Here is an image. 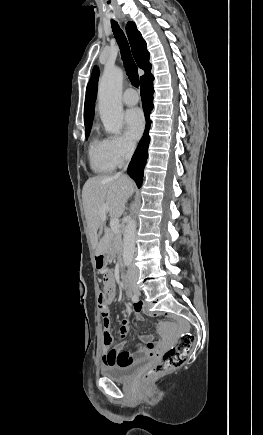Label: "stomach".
Masks as SVG:
<instances>
[{"label": "stomach", "instance_id": "obj_1", "mask_svg": "<svg viewBox=\"0 0 263 435\" xmlns=\"http://www.w3.org/2000/svg\"><path fill=\"white\" fill-rule=\"evenodd\" d=\"M109 259H110L109 254L96 255L95 266L97 267L98 270H102L106 267Z\"/></svg>", "mask_w": 263, "mask_h": 435}]
</instances>
